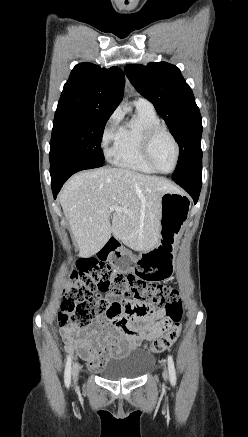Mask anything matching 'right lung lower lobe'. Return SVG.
<instances>
[{"mask_svg": "<svg viewBox=\"0 0 248 437\" xmlns=\"http://www.w3.org/2000/svg\"><path fill=\"white\" fill-rule=\"evenodd\" d=\"M101 166H103V164L94 163L87 159L78 157L64 158L51 163L50 174L54 198H56L62 185L71 175L81 170Z\"/></svg>", "mask_w": 248, "mask_h": 437, "instance_id": "right-lung-lower-lobe-1", "label": "right lung lower lobe"}]
</instances>
